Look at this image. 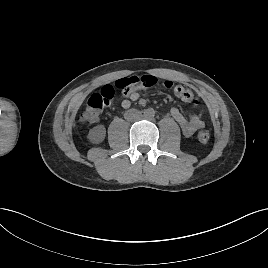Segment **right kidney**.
Segmentation results:
<instances>
[{
    "label": "right kidney",
    "mask_w": 268,
    "mask_h": 268,
    "mask_svg": "<svg viewBox=\"0 0 268 268\" xmlns=\"http://www.w3.org/2000/svg\"><path fill=\"white\" fill-rule=\"evenodd\" d=\"M105 134V127L103 125H98L90 129L88 133V139L90 140V142L98 144L104 140Z\"/></svg>",
    "instance_id": "right-kidney-1"
}]
</instances>
